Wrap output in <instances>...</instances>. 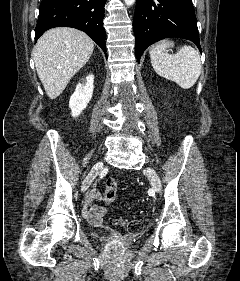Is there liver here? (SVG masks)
I'll use <instances>...</instances> for the list:
<instances>
[{"label":"liver","mask_w":240,"mask_h":281,"mask_svg":"<svg viewBox=\"0 0 240 281\" xmlns=\"http://www.w3.org/2000/svg\"><path fill=\"white\" fill-rule=\"evenodd\" d=\"M93 50V40L74 28H53L39 38L33 58L50 99L63 92L70 79L88 62Z\"/></svg>","instance_id":"1"}]
</instances>
